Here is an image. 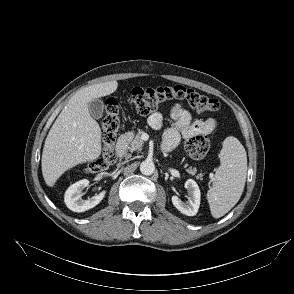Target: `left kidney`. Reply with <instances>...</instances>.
<instances>
[{
    "label": "left kidney",
    "mask_w": 294,
    "mask_h": 294,
    "mask_svg": "<svg viewBox=\"0 0 294 294\" xmlns=\"http://www.w3.org/2000/svg\"><path fill=\"white\" fill-rule=\"evenodd\" d=\"M185 187L188 190L189 197L186 202L181 201L177 196H172L171 200L173 205L182 213L187 216H194L197 214L200 206V189L198 184L192 180L188 179L185 182Z\"/></svg>",
    "instance_id": "left-kidney-1"
}]
</instances>
